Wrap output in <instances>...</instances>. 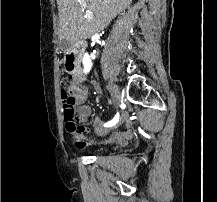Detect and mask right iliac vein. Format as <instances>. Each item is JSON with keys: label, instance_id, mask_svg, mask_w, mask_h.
<instances>
[{"label": "right iliac vein", "instance_id": "63e3f726", "mask_svg": "<svg viewBox=\"0 0 217 202\" xmlns=\"http://www.w3.org/2000/svg\"><path fill=\"white\" fill-rule=\"evenodd\" d=\"M109 88H110L112 95H113L114 104L118 105L120 97H121V94H120L118 87L116 85L110 83Z\"/></svg>", "mask_w": 217, "mask_h": 202}]
</instances>
